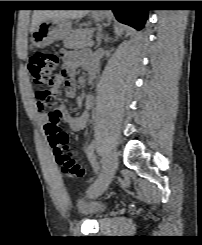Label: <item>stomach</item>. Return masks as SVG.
<instances>
[{"label": "stomach", "mask_w": 202, "mask_h": 245, "mask_svg": "<svg viewBox=\"0 0 202 245\" xmlns=\"http://www.w3.org/2000/svg\"><path fill=\"white\" fill-rule=\"evenodd\" d=\"M92 18L101 21L104 13L93 12ZM72 32V22L66 18H46L32 32L31 43L36 48H45L54 41L68 38Z\"/></svg>", "instance_id": "1"}]
</instances>
